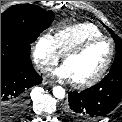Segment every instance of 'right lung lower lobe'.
<instances>
[{"instance_id":"1","label":"right lung lower lobe","mask_w":122,"mask_h":122,"mask_svg":"<svg viewBox=\"0 0 122 122\" xmlns=\"http://www.w3.org/2000/svg\"><path fill=\"white\" fill-rule=\"evenodd\" d=\"M30 49L20 37L1 34V122H14L26 109L29 89L42 82Z\"/></svg>"}]
</instances>
